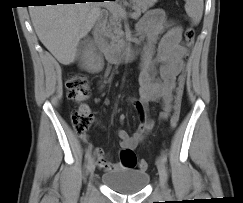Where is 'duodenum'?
I'll return each instance as SVG.
<instances>
[{
    "label": "duodenum",
    "mask_w": 243,
    "mask_h": 203,
    "mask_svg": "<svg viewBox=\"0 0 243 203\" xmlns=\"http://www.w3.org/2000/svg\"><path fill=\"white\" fill-rule=\"evenodd\" d=\"M105 20L106 15L105 11H103L93 26V37L97 48L103 53L106 60L110 63H120L137 59L140 55V51L137 47L123 44L110 45L107 43L103 33Z\"/></svg>",
    "instance_id": "1"
}]
</instances>
